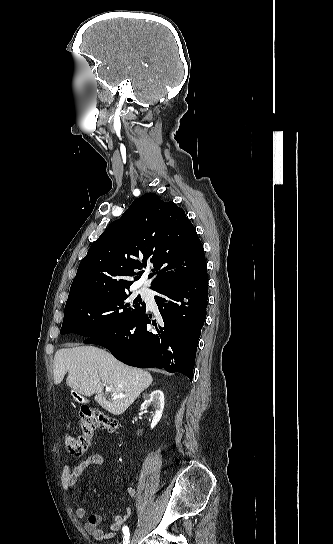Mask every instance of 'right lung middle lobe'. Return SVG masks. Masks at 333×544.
<instances>
[{
	"label": "right lung middle lobe",
	"instance_id": "obj_1",
	"mask_svg": "<svg viewBox=\"0 0 333 544\" xmlns=\"http://www.w3.org/2000/svg\"><path fill=\"white\" fill-rule=\"evenodd\" d=\"M127 291L95 293L66 302L60 334L90 338L128 325L146 310V305L140 296L129 298Z\"/></svg>",
	"mask_w": 333,
	"mask_h": 544
}]
</instances>
